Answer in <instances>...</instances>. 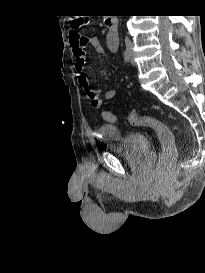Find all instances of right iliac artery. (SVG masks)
<instances>
[{
  "mask_svg": "<svg viewBox=\"0 0 205 273\" xmlns=\"http://www.w3.org/2000/svg\"><path fill=\"white\" fill-rule=\"evenodd\" d=\"M123 57H124V60H125L126 63L130 62V54H129V51L127 49L124 51Z\"/></svg>",
  "mask_w": 205,
  "mask_h": 273,
  "instance_id": "82829eb1",
  "label": "right iliac artery"
}]
</instances>
